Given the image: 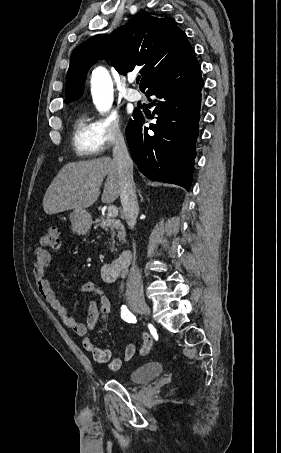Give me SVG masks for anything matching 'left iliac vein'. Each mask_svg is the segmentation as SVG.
Listing matches in <instances>:
<instances>
[{
    "label": "left iliac vein",
    "mask_w": 281,
    "mask_h": 453,
    "mask_svg": "<svg viewBox=\"0 0 281 453\" xmlns=\"http://www.w3.org/2000/svg\"><path fill=\"white\" fill-rule=\"evenodd\" d=\"M134 311H139V309H138V308H135Z\"/></svg>",
    "instance_id": "1"
}]
</instances>
